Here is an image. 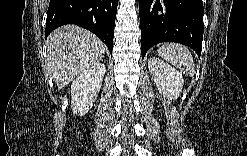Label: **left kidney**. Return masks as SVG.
Instances as JSON below:
<instances>
[{"mask_svg": "<svg viewBox=\"0 0 247 156\" xmlns=\"http://www.w3.org/2000/svg\"><path fill=\"white\" fill-rule=\"evenodd\" d=\"M148 69L152 80L164 97L170 100L179 97L184 85L183 76L179 71L157 57L148 59Z\"/></svg>", "mask_w": 247, "mask_h": 156, "instance_id": "1", "label": "left kidney"}]
</instances>
